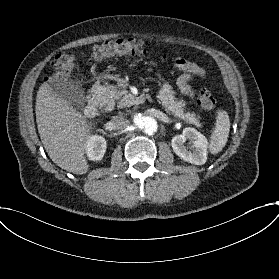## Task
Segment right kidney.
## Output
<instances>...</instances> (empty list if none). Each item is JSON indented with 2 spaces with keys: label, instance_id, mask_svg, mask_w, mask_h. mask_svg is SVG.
I'll return each instance as SVG.
<instances>
[{
  "label": "right kidney",
  "instance_id": "ca27d5eb",
  "mask_svg": "<svg viewBox=\"0 0 279 279\" xmlns=\"http://www.w3.org/2000/svg\"><path fill=\"white\" fill-rule=\"evenodd\" d=\"M106 151V141L99 136L91 137L86 143V152L92 160H100Z\"/></svg>",
  "mask_w": 279,
  "mask_h": 279
}]
</instances>
